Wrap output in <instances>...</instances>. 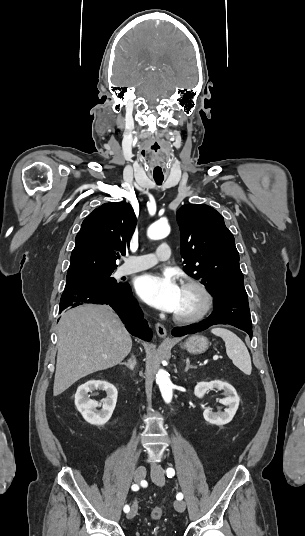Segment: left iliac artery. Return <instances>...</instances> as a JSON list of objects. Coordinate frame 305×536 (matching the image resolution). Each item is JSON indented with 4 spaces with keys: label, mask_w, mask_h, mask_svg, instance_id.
<instances>
[{
    "label": "left iliac artery",
    "mask_w": 305,
    "mask_h": 536,
    "mask_svg": "<svg viewBox=\"0 0 305 536\" xmlns=\"http://www.w3.org/2000/svg\"><path fill=\"white\" fill-rule=\"evenodd\" d=\"M166 473H167V477L168 478H172V476H174L175 474V471L173 468H168L166 470ZM177 500H182L183 499V494L182 493H178L177 496H176Z\"/></svg>",
    "instance_id": "left-iliac-artery-1"
}]
</instances>
